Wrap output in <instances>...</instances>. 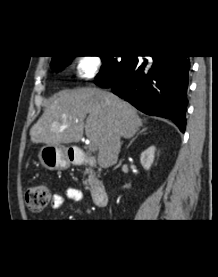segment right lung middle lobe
Returning a JSON list of instances; mask_svg holds the SVG:
<instances>
[{"mask_svg":"<svg viewBox=\"0 0 218 277\" xmlns=\"http://www.w3.org/2000/svg\"><path fill=\"white\" fill-rule=\"evenodd\" d=\"M75 56H60L51 61L53 71H60L67 66ZM103 61V66L100 73L97 75L99 82L112 84L118 77L119 73L127 68L136 57L122 56L117 59L115 56H100Z\"/></svg>","mask_w":218,"mask_h":277,"instance_id":"dd1d6c3e","label":"right lung middle lobe"}]
</instances>
